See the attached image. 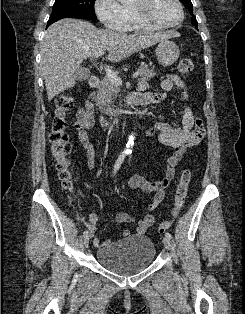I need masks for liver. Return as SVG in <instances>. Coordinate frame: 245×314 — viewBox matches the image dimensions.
Returning <instances> with one entry per match:
<instances>
[{"label":"liver","mask_w":245,"mask_h":314,"mask_svg":"<svg viewBox=\"0 0 245 314\" xmlns=\"http://www.w3.org/2000/svg\"><path fill=\"white\" fill-rule=\"evenodd\" d=\"M179 33L154 34L118 33L98 29L79 19H62L52 24L40 44L41 70L48 100L75 86V72L83 60L99 51H109L107 59L121 61L160 41L178 37Z\"/></svg>","instance_id":"6515ba94"}]
</instances>
